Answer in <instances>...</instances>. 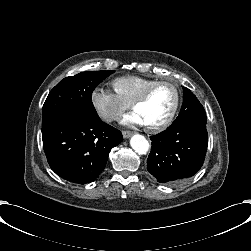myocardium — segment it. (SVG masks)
Listing matches in <instances>:
<instances>
[{
  "mask_svg": "<svg viewBox=\"0 0 251 251\" xmlns=\"http://www.w3.org/2000/svg\"><path fill=\"white\" fill-rule=\"evenodd\" d=\"M162 84H170L174 87L175 92H176V101H175L172 111L170 112V114L167 116V118L164 121L158 124H154V125L145 124L146 129L150 131L164 130L167 127H169L171 123L173 122L175 116L177 115L180 109L181 102H182V89L180 85L177 82H174L171 80H155L153 83H151L149 86L146 87V89L142 92V94L132 104V108L136 109V107L145 103L150 98L153 91Z\"/></svg>",
  "mask_w": 251,
  "mask_h": 251,
  "instance_id": "obj_1",
  "label": "myocardium"
}]
</instances>
